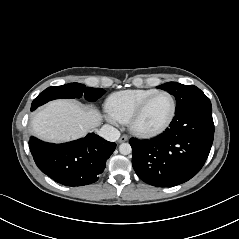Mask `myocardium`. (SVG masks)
I'll use <instances>...</instances> for the list:
<instances>
[{
	"label": "myocardium",
	"mask_w": 239,
	"mask_h": 239,
	"mask_svg": "<svg viewBox=\"0 0 239 239\" xmlns=\"http://www.w3.org/2000/svg\"><path fill=\"white\" fill-rule=\"evenodd\" d=\"M158 95H167L172 101V111L168 119L158 127L155 128H144L138 124L139 118L141 117L142 113L144 112L146 106L149 102ZM177 113V102L175 97L168 91L159 90L154 92L153 94L146 97L140 104L135 108L128 119V126L129 129L138 136L143 137H151L156 136L162 132H164L174 121Z\"/></svg>",
	"instance_id": "f54148a6"
}]
</instances>
